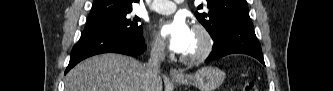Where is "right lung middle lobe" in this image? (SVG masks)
Here are the masks:
<instances>
[{"label":"right lung middle lobe","mask_w":333,"mask_h":91,"mask_svg":"<svg viewBox=\"0 0 333 91\" xmlns=\"http://www.w3.org/2000/svg\"><path fill=\"white\" fill-rule=\"evenodd\" d=\"M131 10L99 18L89 19L85 31H115L123 32L131 36H142V26L138 24V17L131 18L128 14Z\"/></svg>","instance_id":"right-lung-middle-lobe-1"}]
</instances>
